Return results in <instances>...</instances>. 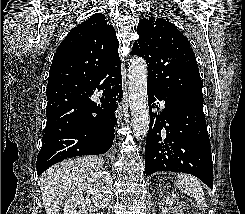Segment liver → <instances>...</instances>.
<instances>
[{"instance_id":"obj_1","label":"liver","mask_w":245,"mask_h":214,"mask_svg":"<svg viewBox=\"0 0 245 214\" xmlns=\"http://www.w3.org/2000/svg\"><path fill=\"white\" fill-rule=\"evenodd\" d=\"M104 164L102 157L86 156L66 160L48 169L39 179L46 214H59L62 202Z\"/></svg>"}]
</instances>
